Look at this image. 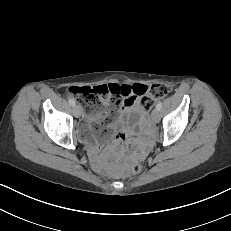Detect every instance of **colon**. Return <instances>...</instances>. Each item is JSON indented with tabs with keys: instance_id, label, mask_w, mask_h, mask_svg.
I'll return each instance as SVG.
<instances>
[{
	"instance_id": "5ec220e1",
	"label": "colon",
	"mask_w": 231,
	"mask_h": 231,
	"mask_svg": "<svg viewBox=\"0 0 231 231\" xmlns=\"http://www.w3.org/2000/svg\"><path fill=\"white\" fill-rule=\"evenodd\" d=\"M130 90L134 95L127 98V105L131 107L134 100H136L146 111L152 108L155 99L162 98L170 92V88L165 84L155 83L151 86L134 84L131 88L117 84H104L93 87L72 86L69 93L87 113H94L104 109L109 116L124 104L125 97ZM122 137L124 138V136ZM141 170L142 165L139 162H135L130 169L134 174L140 173Z\"/></svg>"
}]
</instances>
